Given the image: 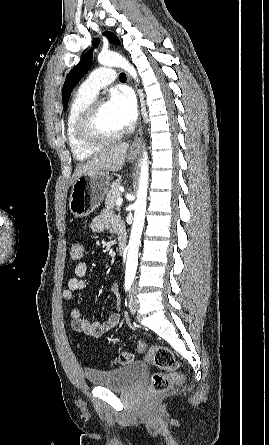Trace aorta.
Masks as SVG:
<instances>
[{"label":"aorta","instance_id":"aorta-1","mask_svg":"<svg viewBox=\"0 0 269 445\" xmlns=\"http://www.w3.org/2000/svg\"><path fill=\"white\" fill-rule=\"evenodd\" d=\"M98 62L105 66L120 67L126 70L132 78L138 82L135 68L121 55L114 52H101L98 55ZM149 182V161L148 154L144 150L141 159V172L139 177V188L137 199L134 203V221L132 225L130 240L128 244L126 275L135 276L138 265V250L142 229L145 221V212L147 205V189Z\"/></svg>","mask_w":269,"mask_h":445}]
</instances>
